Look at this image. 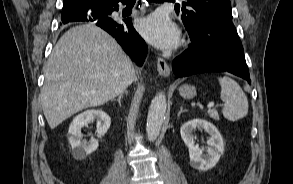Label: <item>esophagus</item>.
Returning a JSON list of instances; mask_svg holds the SVG:
<instances>
[{"mask_svg": "<svg viewBox=\"0 0 293 184\" xmlns=\"http://www.w3.org/2000/svg\"><path fill=\"white\" fill-rule=\"evenodd\" d=\"M156 63H157V71L160 75L165 77L170 75V67L163 58L157 57Z\"/></svg>", "mask_w": 293, "mask_h": 184, "instance_id": "1", "label": "esophagus"}]
</instances>
